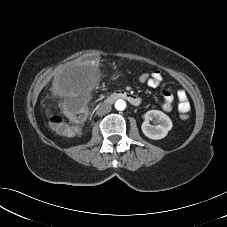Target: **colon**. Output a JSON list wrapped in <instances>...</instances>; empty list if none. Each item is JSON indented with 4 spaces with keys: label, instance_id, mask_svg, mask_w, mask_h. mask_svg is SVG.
<instances>
[{
    "label": "colon",
    "instance_id": "1",
    "mask_svg": "<svg viewBox=\"0 0 227 227\" xmlns=\"http://www.w3.org/2000/svg\"><path fill=\"white\" fill-rule=\"evenodd\" d=\"M137 80L142 84H148L151 80L150 73H140L137 76ZM68 117L71 122L65 121L62 117L58 115H52L50 117V125L54 131L63 136H73L78 132V125L84 122L87 112L84 107L81 106H69L67 109ZM180 117L183 120L188 118L187 113H180Z\"/></svg>",
    "mask_w": 227,
    "mask_h": 227
}]
</instances>
